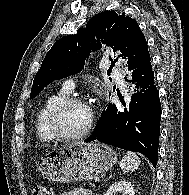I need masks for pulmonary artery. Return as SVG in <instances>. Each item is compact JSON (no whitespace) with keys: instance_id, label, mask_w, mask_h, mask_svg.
Segmentation results:
<instances>
[{"instance_id":"pulmonary-artery-1","label":"pulmonary artery","mask_w":189,"mask_h":195,"mask_svg":"<svg viewBox=\"0 0 189 195\" xmlns=\"http://www.w3.org/2000/svg\"><path fill=\"white\" fill-rule=\"evenodd\" d=\"M63 88L68 92H72L75 88V83L73 80H66L63 84Z\"/></svg>"}]
</instances>
